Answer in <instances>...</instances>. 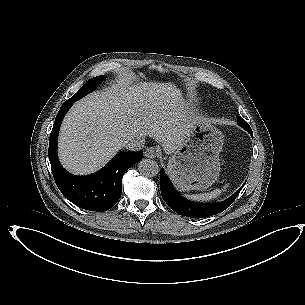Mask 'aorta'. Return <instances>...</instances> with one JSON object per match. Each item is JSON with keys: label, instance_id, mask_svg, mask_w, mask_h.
I'll return each instance as SVG.
<instances>
[{"label": "aorta", "instance_id": "1", "mask_svg": "<svg viewBox=\"0 0 305 305\" xmlns=\"http://www.w3.org/2000/svg\"><path fill=\"white\" fill-rule=\"evenodd\" d=\"M138 170L141 175L151 178L158 175L159 166L154 160L143 159L138 163Z\"/></svg>", "mask_w": 305, "mask_h": 305}]
</instances>
